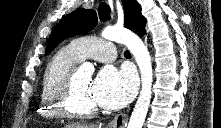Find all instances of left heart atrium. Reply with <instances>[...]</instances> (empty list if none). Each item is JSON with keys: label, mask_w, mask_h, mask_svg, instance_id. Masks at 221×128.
Listing matches in <instances>:
<instances>
[{"label": "left heart atrium", "mask_w": 221, "mask_h": 128, "mask_svg": "<svg viewBox=\"0 0 221 128\" xmlns=\"http://www.w3.org/2000/svg\"><path fill=\"white\" fill-rule=\"evenodd\" d=\"M137 82L133 73L103 67L90 83V93L97 106L116 110L125 106L136 92Z\"/></svg>", "instance_id": "39dd6f15"}]
</instances>
